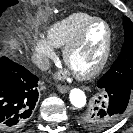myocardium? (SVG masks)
Masks as SVG:
<instances>
[{
	"label": "myocardium",
	"instance_id": "1",
	"mask_svg": "<svg viewBox=\"0 0 133 133\" xmlns=\"http://www.w3.org/2000/svg\"><path fill=\"white\" fill-rule=\"evenodd\" d=\"M95 23H102L107 28V41L104 52L96 63V65L86 72H74V75L80 80H88L97 76L105 68L111 55L112 44H113V30L109 22L100 17H94L86 22L82 28L78 31L75 37L63 48V61L69 67V58L73 51L82 43L88 30Z\"/></svg>",
	"mask_w": 133,
	"mask_h": 133
}]
</instances>
